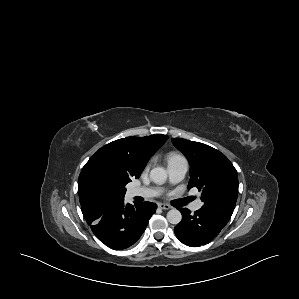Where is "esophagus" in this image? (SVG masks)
I'll return each mask as SVG.
<instances>
[{"mask_svg": "<svg viewBox=\"0 0 299 299\" xmlns=\"http://www.w3.org/2000/svg\"><path fill=\"white\" fill-rule=\"evenodd\" d=\"M158 207L163 209V210H169L171 209V206H169L168 204H164V203H159Z\"/></svg>", "mask_w": 299, "mask_h": 299, "instance_id": "1", "label": "esophagus"}]
</instances>
